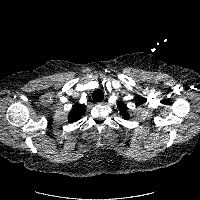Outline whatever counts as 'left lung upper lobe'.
Masks as SVG:
<instances>
[{
	"instance_id": "5c2ea615",
	"label": "left lung upper lobe",
	"mask_w": 200,
	"mask_h": 200,
	"mask_svg": "<svg viewBox=\"0 0 200 200\" xmlns=\"http://www.w3.org/2000/svg\"><path fill=\"white\" fill-rule=\"evenodd\" d=\"M120 111L122 112V115H123L124 119H128L129 118V115L126 112L125 106L124 107H120Z\"/></svg>"
}]
</instances>
